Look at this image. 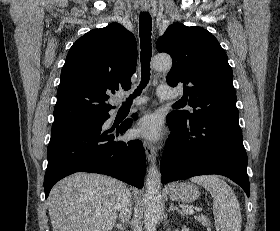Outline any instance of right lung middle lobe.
<instances>
[{
	"label": "right lung middle lobe",
	"mask_w": 280,
	"mask_h": 231,
	"mask_svg": "<svg viewBox=\"0 0 280 231\" xmlns=\"http://www.w3.org/2000/svg\"><path fill=\"white\" fill-rule=\"evenodd\" d=\"M106 115H108V114H104V115H100V116H95V117H103V116H106Z\"/></svg>",
	"instance_id": "obj_1"
}]
</instances>
